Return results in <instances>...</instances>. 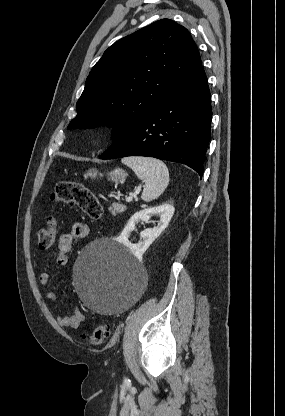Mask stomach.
Masks as SVG:
<instances>
[{
    "instance_id": "stomach-1",
    "label": "stomach",
    "mask_w": 285,
    "mask_h": 416,
    "mask_svg": "<svg viewBox=\"0 0 285 416\" xmlns=\"http://www.w3.org/2000/svg\"><path fill=\"white\" fill-rule=\"evenodd\" d=\"M96 178V176H103V174H99L98 170H88L85 174V178ZM109 178L108 180H111V182H115V184H123L127 178L126 172L124 170H121V168H116V170H113V172H109L108 174Z\"/></svg>"
}]
</instances>
